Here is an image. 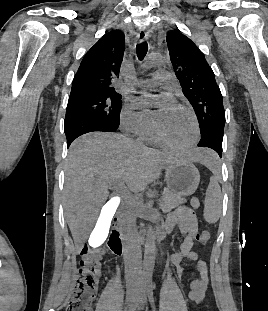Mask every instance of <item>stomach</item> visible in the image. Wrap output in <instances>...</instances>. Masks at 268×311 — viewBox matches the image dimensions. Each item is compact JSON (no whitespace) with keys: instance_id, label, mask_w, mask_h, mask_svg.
Returning a JSON list of instances; mask_svg holds the SVG:
<instances>
[{"instance_id":"obj_1","label":"stomach","mask_w":268,"mask_h":311,"mask_svg":"<svg viewBox=\"0 0 268 311\" xmlns=\"http://www.w3.org/2000/svg\"><path fill=\"white\" fill-rule=\"evenodd\" d=\"M165 180L168 189L180 196L195 193L200 182V173L191 160H180L165 166Z\"/></svg>"}]
</instances>
